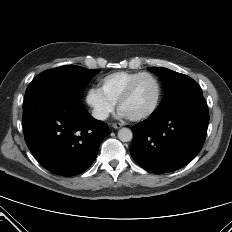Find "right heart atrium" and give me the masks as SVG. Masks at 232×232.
I'll list each match as a JSON object with an SVG mask.
<instances>
[{"mask_svg":"<svg viewBox=\"0 0 232 232\" xmlns=\"http://www.w3.org/2000/svg\"><path fill=\"white\" fill-rule=\"evenodd\" d=\"M85 100L93 117L99 121H105L114 111L115 105L96 87L87 90Z\"/></svg>","mask_w":232,"mask_h":232,"instance_id":"1","label":"right heart atrium"}]
</instances>
